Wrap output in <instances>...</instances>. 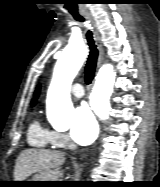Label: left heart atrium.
Instances as JSON below:
<instances>
[{
  "label": "left heart atrium",
  "instance_id": "left-heart-atrium-1",
  "mask_svg": "<svg viewBox=\"0 0 160 187\" xmlns=\"http://www.w3.org/2000/svg\"><path fill=\"white\" fill-rule=\"evenodd\" d=\"M98 134V124L87 104L79 106L71 126V137L81 145L92 143Z\"/></svg>",
  "mask_w": 160,
  "mask_h": 187
}]
</instances>
